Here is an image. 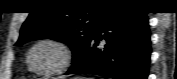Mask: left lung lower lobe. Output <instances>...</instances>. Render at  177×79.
I'll return each mask as SVG.
<instances>
[{"label":"left lung lower lobe","mask_w":177,"mask_h":79,"mask_svg":"<svg viewBox=\"0 0 177 79\" xmlns=\"http://www.w3.org/2000/svg\"><path fill=\"white\" fill-rule=\"evenodd\" d=\"M150 54L146 13L125 6H113L103 11L84 51L66 74L147 79Z\"/></svg>","instance_id":"left-lung-lower-lobe-1"}]
</instances>
